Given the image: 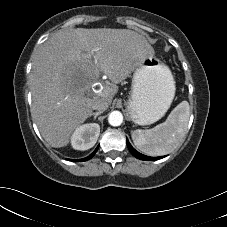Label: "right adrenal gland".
Listing matches in <instances>:
<instances>
[{"mask_svg": "<svg viewBox=\"0 0 227 227\" xmlns=\"http://www.w3.org/2000/svg\"><path fill=\"white\" fill-rule=\"evenodd\" d=\"M102 113V111L92 113L91 116H93V119L96 120V118Z\"/></svg>", "mask_w": 227, "mask_h": 227, "instance_id": "obj_1", "label": "right adrenal gland"}]
</instances>
